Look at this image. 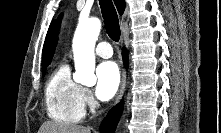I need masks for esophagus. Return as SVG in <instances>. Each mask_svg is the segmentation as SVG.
I'll return each mask as SVG.
<instances>
[{
	"instance_id": "1",
	"label": "esophagus",
	"mask_w": 221,
	"mask_h": 133,
	"mask_svg": "<svg viewBox=\"0 0 221 133\" xmlns=\"http://www.w3.org/2000/svg\"><path fill=\"white\" fill-rule=\"evenodd\" d=\"M125 86H126V73H125V71H123L122 82H121V85H120V89L117 93L114 105H116L120 101V99L122 98L124 90H125Z\"/></svg>"
}]
</instances>
